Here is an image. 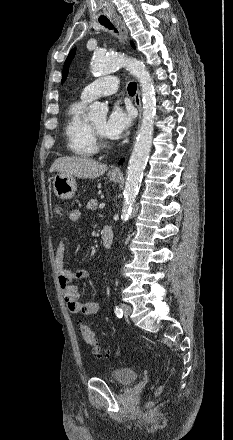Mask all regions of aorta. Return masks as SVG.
<instances>
[{
	"instance_id": "aorta-1",
	"label": "aorta",
	"mask_w": 233,
	"mask_h": 440,
	"mask_svg": "<svg viewBox=\"0 0 233 440\" xmlns=\"http://www.w3.org/2000/svg\"><path fill=\"white\" fill-rule=\"evenodd\" d=\"M121 67H126L127 70L138 79L143 104L141 126L127 168L124 202L121 215L122 220L127 221L137 197L143 172L151 150L156 113V99L153 81L145 65L141 61L120 54L111 56H104L100 53L94 54L92 72L95 74L107 75ZM107 112L108 107L106 105L96 102L90 106L88 117L89 119L94 120L100 117H105Z\"/></svg>"
}]
</instances>
